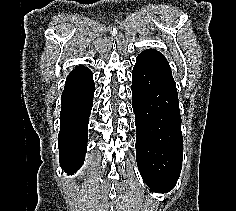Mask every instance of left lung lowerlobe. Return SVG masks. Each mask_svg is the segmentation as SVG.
Listing matches in <instances>:
<instances>
[{
  "label": "left lung lower lobe",
  "instance_id": "0a47b994",
  "mask_svg": "<svg viewBox=\"0 0 236 211\" xmlns=\"http://www.w3.org/2000/svg\"><path fill=\"white\" fill-rule=\"evenodd\" d=\"M136 157L140 174L155 192L170 191L180 176L183 139L178 94L166 58L144 50L132 72Z\"/></svg>",
  "mask_w": 236,
  "mask_h": 211
}]
</instances>
